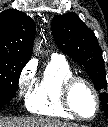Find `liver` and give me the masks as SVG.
Here are the masks:
<instances>
[{"label":"liver","instance_id":"liver-1","mask_svg":"<svg viewBox=\"0 0 108 127\" xmlns=\"http://www.w3.org/2000/svg\"><path fill=\"white\" fill-rule=\"evenodd\" d=\"M0 127H80L77 124L69 125L56 119L42 117H20L0 119Z\"/></svg>","mask_w":108,"mask_h":127}]
</instances>
